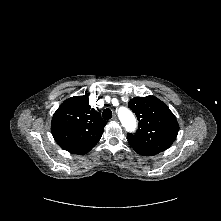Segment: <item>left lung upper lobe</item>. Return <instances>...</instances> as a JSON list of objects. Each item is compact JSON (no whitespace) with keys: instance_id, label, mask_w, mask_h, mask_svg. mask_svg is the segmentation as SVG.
Segmentation results:
<instances>
[{"instance_id":"5c2ea615","label":"left lung upper lobe","mask_w":221,"mask_h":221,"mask_svg":"<svg viewBox=\"0 0 221 221\" xmlns=\"http://www.w3.org/2000/svg\"><path fill=\"white\" fill-rule=\"evenodd\" d=\"M128 107L139 121L136 133L127 134L129 144L138 154L152 156L171 146L179 126L165 103L154 96L135 97L129 101Z\"/></svg>"}]
</instances>
